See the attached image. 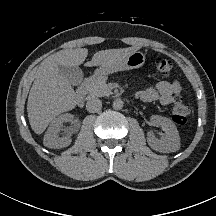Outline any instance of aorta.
<instances>
[{
	"mask_svg": "<svg viewBox=\"0 0 216 216\" xmlns=\"http://www.w3.org/2000/svg\"><path fill=\"white\" fill-rule=\"evenodd\" d=\"M123 105H124V103H123V101L121 99H115L113 101V105L112 106H113V108L115 110H120V109L123 108Z\"/></svg>",
	"mask_w": 216,
	"mask_h": 216,
	"instance_id": "762f6f07",
	"label": "aorta"
}]
</instances>
